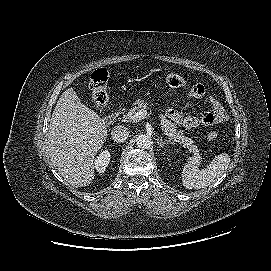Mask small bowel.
<instances>
[{"label":"small bowel","instance_id":"c3829d8e","mask_svg":"<svg viewBox=\"0 0 271 271\" xmlns=\"http://www.w3.org/2000/svg\"><path fill=\"white\" fill-rule=\"evenodd\" d=\"M189 97L192 99H204L207 104V110L199 116H183L177 110L169 109L166 111V117L170 121L185 128H196L198 126L220 124L227 119V114L222 104L214 97L208 96L203 85H194L189 91Z\"/></svg>","mask_w":271,"mask_h":271}]
</instances>
